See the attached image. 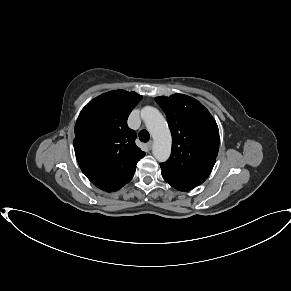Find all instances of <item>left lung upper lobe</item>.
Wrapping results in <instances>:
<instances>
[{
  "instance_id": "1",
  "label": "left lung upper lobe",
  "mask_w": 291,
  "mask_h": 291,
  "mask_svg": "<svg viewBox=\"0 0 291 291\" xmlns=\"http://www.w3.org/2000/svg\"><path fill=\"white\" fill-rule=\"evenodd\" d=\"M172 134L170 158L162 173L196 187L212 171L219 150V130L209 111L196 99L174 94L156 97Z\"/></svg>"
}]
</instances>
